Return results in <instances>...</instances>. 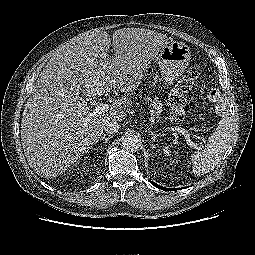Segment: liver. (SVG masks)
I'll return each mask as SVG.
<instances>
[{
    "label": "liver",
    "mask_w": 255,
    "mask_h": 255,
    "mask_svg": "<svg viewBox=\"0 0 255 255\" xmlns=\"http://www.w3.org/2000/svg\"><path fill=\"white\" fill-rule=\"evenodd\" d=\"M111 42L115 57L109 55ZM167 42L165 34L123 28L112 39L105 31H87L59 48L22 115V146L34 172L47 179L60 175L97 143L107 121H123L130 99L116 100L109 112L92 116L84 96L135 90Z\"/></svg>",
    "instance_id": "obj_1"
}]
</instances>
